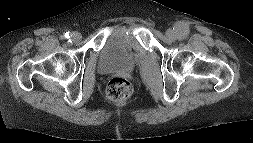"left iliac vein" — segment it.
Instances as JSON below:
<instances>
[{
    "mask_svg": "<svg viewBox=\"0 0 253 143\" xmlns=\"http://www.w3.org/2000/svg\"><path fill=\"white\" fill-rule=\"evenodd\" d=\"M166 37L169 39V40H175L177 38V32L173 29H168L166 31Z\"/></svg>",
    "mask_w": 253,
    "mask_h": 143,
    "instance_id": "obj_1",
    "label": "left iliac vein"
}]
</instances>
